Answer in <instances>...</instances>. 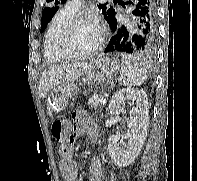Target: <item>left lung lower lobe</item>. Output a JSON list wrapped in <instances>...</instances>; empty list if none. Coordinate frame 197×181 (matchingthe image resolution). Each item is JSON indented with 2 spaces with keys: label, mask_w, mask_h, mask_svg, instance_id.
<instances>
[{
  "label": "left lung lower lobe",
  "mask_w": 197,
  "mask_h": 181,
  "mask_svg": "<svg viewBox=\"0 0 197 181\" xmlns=\"http://www.w3.org/2000/svg\"><path fill=\"white\" fill-rule=\"evenodd\" d=\"M157 0H132L134 9L129 25H117L114 19L108 24L113 32L105 53L122 52L151 57L157 41Z\"/></svg>",
  "instance_id": "obj_1"
}]
</instances>
